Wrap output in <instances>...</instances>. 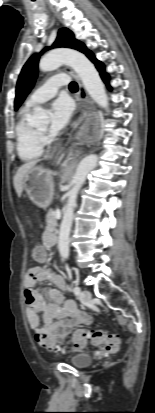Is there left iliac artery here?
I'll return each mask as SVG.
<instances>
[{
    "label": "left iliac artery",
    "mask_w": 155,
    "mask_h": 413,
    "mask_svg": "<svg viewBox=\"0 0 155 413\" xmlns=\"http://www.w3.org/2000/svg\"><path fill=\"white\" fill-rule=\"evenodd\" d=\"M73 292L75 295H80L81 293V288L79 286L74 287Z\"/></svg>",
    "instance_id": "1"
}]
</instances>
